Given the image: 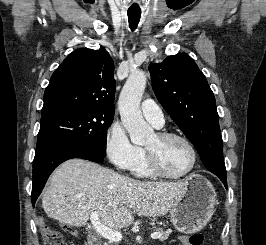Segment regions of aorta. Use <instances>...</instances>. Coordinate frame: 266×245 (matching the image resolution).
Returning <instances> with one entry per match:
<instances>
[{
    "label": "aorta",
    "instance_id": "obj_1",
    "mask_svg": "<svg viewBox=\"0 0 266 245\" xmlns=\"http://www.w3.org/2000/svg\"><path fill=\"white\" fill-rule=\"evenodd\" d=\"M146 80V74L142 70L130 72L118 100L122 125L128 131L133 145H145L148 137L154 133L152 127L145 123L140 110Z\"/></svg>",
    "mask_w": 266,
    "mask_h": 245
}]
</instances>
